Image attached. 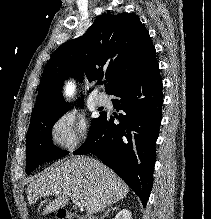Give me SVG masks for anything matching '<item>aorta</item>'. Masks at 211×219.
<instances>
[{
  "mask_svg": "<svg viewBox=\"0 0 211 219\" xmlns=\"http://www.w3.org/2000/svg\"><path fill=\"white\" fill-rule=\"evenodd\" d=\"M73 89H74V88H73L72 85H68L67 88H66V92H67V94H72Z\"/></svg>",
  "mask_w": 211,
  "mask_h": 219,
  "instance_id": "762f6f07",
  "label": "aorta"
}]
</instances>
